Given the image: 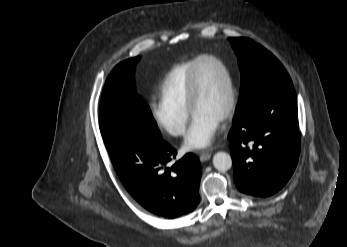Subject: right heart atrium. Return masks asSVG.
<instances>
[{"label": "right heart atrium", "mask_w": 347, "mask_h": 247, "mask_svg": "<svg viewBox=\"0 0 347 247\" xmlns=\"http://www.w3.org/2000/svg\"><path fill=\"white\" fill-rule=\"evenodd\" d=\"M151 112L157 125L168 135L173 137L184 135L189 121L187 108L160 99L151 103Z\"/></svg>", "instance_id": "right-heart-atrium-1"}]
</instances>
